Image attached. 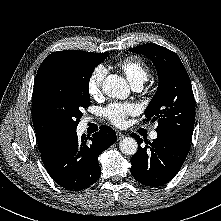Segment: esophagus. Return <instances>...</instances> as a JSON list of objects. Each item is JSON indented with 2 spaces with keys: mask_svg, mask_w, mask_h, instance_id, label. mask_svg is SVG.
I'll return each instance as SVG.
<instances>
[{
  "mask_svg": "<svg viewBox=\"0 0 221 221\" xmlns=\"http://www.w3.org/2000/svg\"><path fill=\"white\" fill-rule=\"evenodd\" d=\"M125 137V134L124 133H122V132H117V140L119 141V140H121L122 138H124Z\"/></svg>",
  "mask_w": 221,
  "mask_h": 221,
  "instance_id": "34e87169",
  "label": "esophagus"
}]
</instances>
